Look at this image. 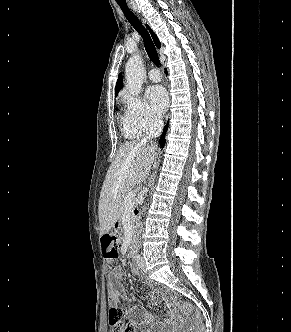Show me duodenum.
I'll list each match as a JSON object with an SVG mask.
<instances>
[{
	"label": "duodenum",
	"mask_w": 291,
	"mask_h": 332,
	"mask_svg": "<svg viewBox=\"0 0 291 332\" xmlns=\"http://www.w3.org/2000/svg\"><path fill=\"white\" fill-rule=\"evenodd\" d=\"M135 254V244L132 242L130 247H129V251H128V255L130 257H133Z\"/></svg>",
	"instance_id": "duodenum-1"
}]
</instances>
